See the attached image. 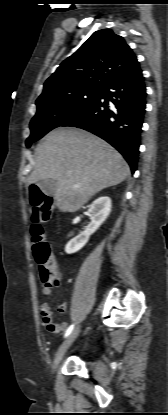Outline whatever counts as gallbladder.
<instances>
[{
    "label": "gallbladder",
    "instance_id": "bac80fb5",
    "mask_svg": "<svg viewBox=\"0 0 168 415\" xmlns=\"http://www.w3.org/2000/svg\"><path fill=\"white\" fill-rule=\"evenodd\" d=\"M38 186L46 195H54L57 190V181L52 178L38 181Z\"/></svg>",
    "mask_w": 168,
    "mask_h": 415
}]
</instances>
